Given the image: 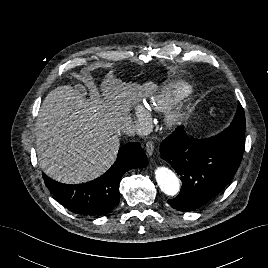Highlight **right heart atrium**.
I'll return each instance as SVG.
<instances>
[{
  "label": "right heart atrium",
  "mask_w": 268,
  "mask_h": 268,
  "mask_svg": "<svg viewBox=\"0 0 268 268\" xmlns=\"http://www.w3.org/2000/svg\"><path fill=\"white\" fill-rule=\"evenodd\" d=\"M150 116V111L145 105L138 104L135 107L134 117L138 121V123H144L148 117Z\"/></svg>",
  "instance_id": "d8ad5b80"
}]
</instances>
